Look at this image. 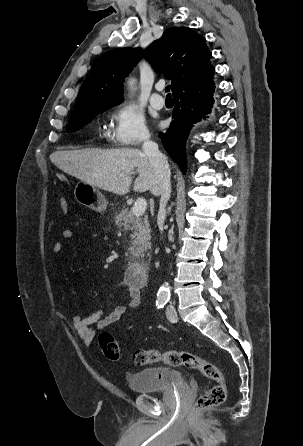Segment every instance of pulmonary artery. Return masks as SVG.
I'll return each mask as SVG.
<instances>
[{
	"label": "pulmonary artery",
	"mask_w": 303,
	"mask_h": 446,
	"mask_svg": "<svg viewBox=\"0 0 303 446\" xmlns=\"http://www.w3.org/2000/svg\"><path fill=\"white\" fill-rule=\"evenodd\" d=\"M157 92L153 93L150 97V103L154 108L160 109L164 106L165 104V100L164 98L159 95L158 92H161L163 90V86L162 85H158L156 87Z\"/></svg>",
	"instance_id": "e3ab8cb5"
}]
</instances>
